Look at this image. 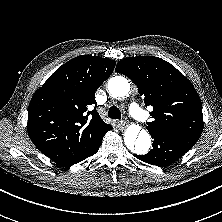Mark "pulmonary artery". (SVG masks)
Instances as JSON below:
<instances>
[{
	"instance_id": "pulmonary-artery-1",
	"label": "pulmonary artery",
	"mask_w": 222,
	"mask_h": 222,
	"mask_svg": "<svg viewBox=\"0 0 222 222\" xmlns=\"http://www.w3.org/2000/svg\"><path fill=\"white\" fill-rule=\"evenodd\" d=\"M128 108H129L130 115L134 119H136V120L145 119L144 111L140 108V106L136 102H134V101L129 102Z\"/></svg>"
}]
</instances>
